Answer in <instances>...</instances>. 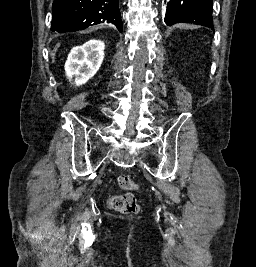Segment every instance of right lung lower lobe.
Returning <instances> with one entry per match:
<instances>
[{
  "label": "right lung lower lobe",
  "mask_w": 256,
  "mask_h": 267,
  "mask_svg": "<svg viewBox=\"0 0 256 267\" xmlns=\"http://www.w3.org/2000/svg\"><path fill=\"white\" fill-rule=\"evenodd\" d=\"M118 2L119 0H54L51 30L65 33L108 22L121 32Z\"/></svg>",
  "instance_id": "obj_1"
}]
</instances>
